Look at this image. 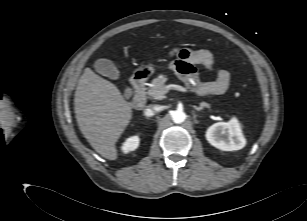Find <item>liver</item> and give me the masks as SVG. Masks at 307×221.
<instances>
[{
    "label": "liver",
    "mask_w": 307,
    "mask_h": 221,
    "mask_svg": "<svg viewBox=\"0 0 307 221\" xmlns=\"http://www.w3.org/2000/svg\"><path fill=\"white\" fill-rule=\"evenodd\" d=\"M77 123L83 136L102 157L117 159L116 142L132 118L131 104L118 88L87 68L75 91Z\"/></svg>",
    "instance_id": "obj_1"
}]
</instances>
